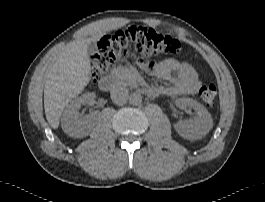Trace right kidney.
Instances as JSON below:
<instances>
[{"label":"right kidney","instance_id":"obj_1","mask_svg":"<svg viewBox=\"0 0 265 202\" xmlns=\"http://www.w3.org/2000/svg\"><path fill=\"white\" fill-rule=\"evenodd\" d=\"M95 97L96 94L93 92L82 94L65 108L61 118V126L70 137L83 138L90 133L98 119V114L95 112L81 118L79 117V109L82 105L92 103Z\"/></svg>","mask_w":265,"mask_h":202}]
</instances>
